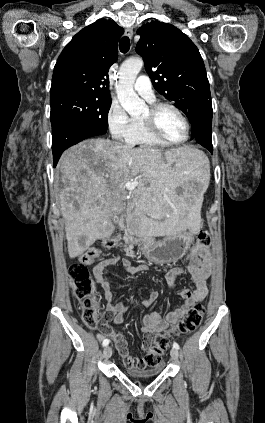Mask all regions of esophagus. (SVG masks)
<instances>
[{
	"mask_svg": "<svg viewBox=\"0 0 265 423\" xmlns=\"http://www.w3.org/2000/svg\"><path fill=\"white\" fill-rule=\"evenodd\" d=\"M125 34H126L127 37L132 38V36H133V29L131 27H127L125 29Z\"/></svg>",
	"mask_w": 265,
	"mask_h": 423,
	"instance_id": "1",
	"label": "esophagus"
}]
</instances>
